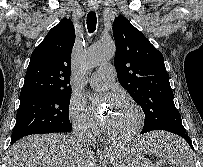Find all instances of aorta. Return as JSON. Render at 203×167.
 Listing matches in <instances>:
<instances>
[{
  "label": "aorta",
  "instance_id": "aorta-1",
  "mask_svg": "<svg viewBox=\"0 0 203 167\" xmlns=\"http://www.w3.org/2000/svg\"><path fill=\"white\" fill-rule=\"evenodd\" d=\"M115 55V44L112 40H100L88 48L81 62V74L87 73L92 68L102 65ZM93 96L92 99H96Z\"/></svg>",
  "mask_w": 203,
  "mask_h": 167
}]
</instances>
